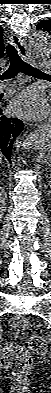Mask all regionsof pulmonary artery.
<instances>
[{"label":"pulmonary artery","instance_id":"e3ab8cb5","mask_svg":"<svg viewBox=\"0 0 51 393\" xmlns=\"http://www.w3.org/2000/svg\"><path fill=\"white\" fill-rule=\"evenodd\" d=\"M44 69H47V64H42Z\"/></svg>","mask_w":51,"mask_h":393}]
</instances>
